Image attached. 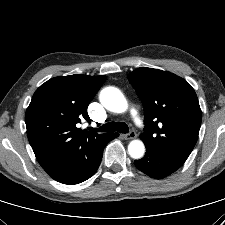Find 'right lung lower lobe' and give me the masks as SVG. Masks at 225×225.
<instances>
[{"instance_id": "98d812e1", "label": "right lung lower lobe", "mask_w": 225, "mask_h": 225, "mask_svg": "<svg viewBox=\"0 0 225 225\" xmlns=\"http://www.w3.org/2000/svg\"><path fill=\"white\" fill-rule=\"evenodd\" d=\"M118 133H109L94 148L90 157L86 159L71 158L64 162L56 171L49 176L64 184H78L89 179L98 169L105 145L118 137Z\"/></svg>"}]
</instances>
